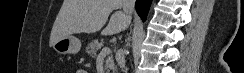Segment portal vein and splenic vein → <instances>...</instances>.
<instances>
[{
	"label": "portal vein and splenic vein",
	"instance_id": "18ae733b",
	"mask_svg": "<svg viewBox=\"0 0 244 73\" xmlns=\"http://www.w3.org/2000/svg\"><path fill=\"white\" fill-rule=\"evenodd\" d=\"M109 53H110V49L107 48V47H104V48L101 50L100 55L105 56V55H107V54H109Z\"/></svg>",
	"mask_w": 244,
	"mask_h": 73
}]
</instances>
